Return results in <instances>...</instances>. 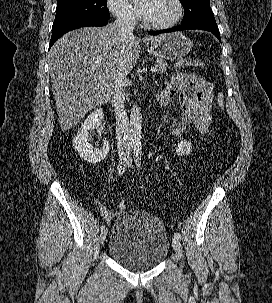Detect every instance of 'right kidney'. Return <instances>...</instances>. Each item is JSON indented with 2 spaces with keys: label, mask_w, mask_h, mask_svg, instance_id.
Masks as SVG:
<instances>
[{
  "label": "right kidney",
  "mask_w": 272,
  "mask_h": 303,
  "mask_svg": "<svg viewBox=\"0 0 272 303\" xmlns=\"http://www.w3.org/2000/svg\"><path fill=\"white\" fill-rule=\"evenodd\" d=\"M104 121V114L101 108L95 109L81 125L73 139V147L78 152L79 156L88 163L96 164L101 162L108 154L110 144L108 140H103L102 146L94 149L92 144L89 143V135L96 129H101Z\"/></svg>",
  "instance_id": "right-kidney-1"
}]
</instances>
